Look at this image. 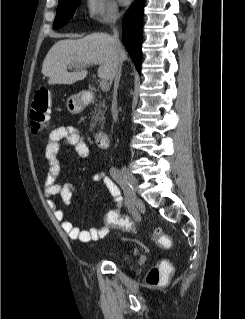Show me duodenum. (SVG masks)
<instances>
[{"mask_svg": "<svg viewBox=\"0 0 245 319\" xmlns=\"http://www.w3.org/2000/svg\"><path fill=\"white\" fill-rule=\"evenodd\" d=\"M96 144L99 148H109V134L104 131H100L96 134Z\"/></svg>", "mask_w": 245, "mask_h": 319, "instance_id": "1", "label": "duodenum"}]
</instances>
